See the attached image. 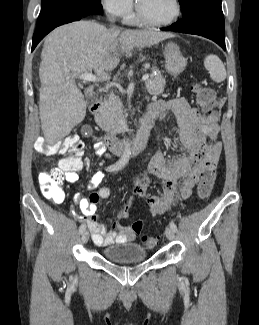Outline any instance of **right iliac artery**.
I'll use <instances>...</instances> for the list:
<instances>
[{
  "mask_svg": "<svg viewBox=\"0 0 259 325\" xmlns=\"http://www.w3.org/2000/svg\"><path fill=\"white\" fill-rule=\"evenodd\" d=\"M130 155H131V152L130 151L125 152L116 163H114L113 165L109 166L106 170L107 171H110V172H114V171L120 170L128 162V160L130 158ZM85 229H86L85 224H82L79 227V233L82 234L85 231Z\"/></svg>",
  "mask_w": 259,
  "mask_h": 325,
  "instance_id": "82829eb1",
  "label": "right iliac artery"
}]
</instances>
